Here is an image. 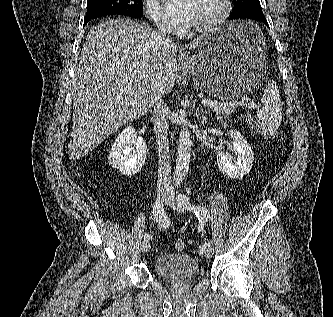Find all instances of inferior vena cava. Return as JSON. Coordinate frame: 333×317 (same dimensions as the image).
Masks as SVG:
<instances>
[{
	"mask_svg": "<svg viewBox=\"0 0 333 317\" xmlns=\"http://www.w3.org/2000/svg\"><path fill=\"white\" fill-rule=\"evenodd\" d=\"M160 34L166 41H170L167 34L171 29L165 24L159 25ZM163 95H158L155 101L153 111V125L156 136V144L158 148V181L159 188H171V161L168 140V114L169 108L162 99Z\"/></svg>",
	"mask_w": 333,
	"mask_h": 317,
	"instance_id": "1",
	"label": "inferior vena cava"
}]
</instances>
